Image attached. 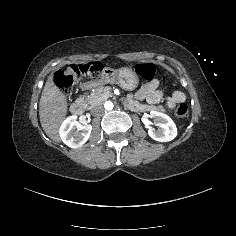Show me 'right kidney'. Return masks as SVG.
<instances>
[{
	"mask_svg": "<svg viewBox=\"0 0 236 236\" xmlns=\"http://www.w3.org/2000/svg\"><path fill=\"white\" fill-rule=\"evenodd\" d=\"M91 131V125L81 124L73 116L64 121L60 129V135L66 145L71 148H78L88 141Z\"/></svg>",
	"mask_w": 236,
	"mask_h": 236,
	"instance_id": "obj_1",
	"label": "right kidney"
}]
</instances>
